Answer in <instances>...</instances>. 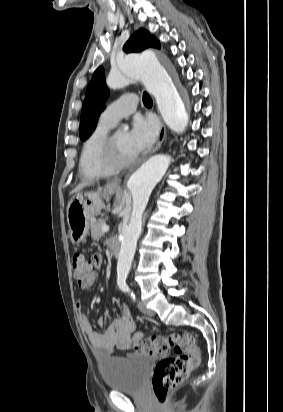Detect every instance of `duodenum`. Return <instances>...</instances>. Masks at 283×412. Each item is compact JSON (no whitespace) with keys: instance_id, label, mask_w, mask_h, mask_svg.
<instances>
[{"instance_id":"duodenum-1","label":"duodenum","mask_w":283,"mask_h":412,"mask_svg":"<svg viewBox=\"0 0 283 412\" xmlns=\"http://www.w3.org/2000/svg\"><path fill=\"white\" fill-rule=\"evenodd\" d=\"M111 252L114 256H118L121 250V242L117 239L110 242Z\"/></svg>"}]
</instances>
